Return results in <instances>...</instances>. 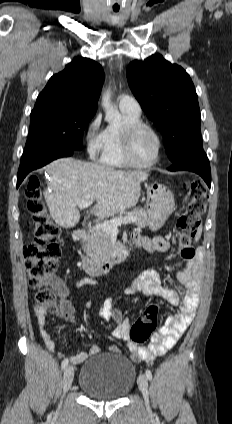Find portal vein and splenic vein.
I'll return each instance as SVG.
<instances>
[{
    "mask_svg": "<svg viewBox=\"0 0 232 424\" xmlns=\"http://www.w3.org/2000/svg\"><path fill=\"white\" fill-rule=\"evenodd\" d=\"M93 203L92 200H85L78 203V207L80 209L87 208ZM137 221L136 217L128 216L123 218L114 219L111 221H104L100 224H98L97 228H102L104 230L110 231L111 233L118 232V226L122 224H128V223H134Z\"/></svg>",
    "mask_w": 232,
    "mask_h": 424,
    "instance_id": "portal-vein-and-splenic-vein-1",
    "label": "portal vein and splenic vein"
}]
</instances>
